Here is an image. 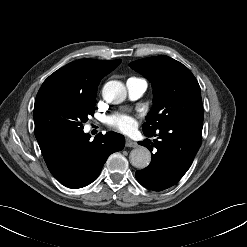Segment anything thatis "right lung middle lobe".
<instances>
[{
  "label": "right lung middle lobe",
  "mask_w": 247,
  "mask_h": 247,
  "mask_svg": "<svg viewBox=\"0 0 247 247\" xmlns=\"http://www.w3.org/2000/svg\"><path fill=\"white\" fill-rule=\"evenodd\" d=\"M96 99L47 97L34 105L35 130L58 129L79 131L95 111Z\"/></svg>",
  "instance_id": "1"
}]
</instances>
